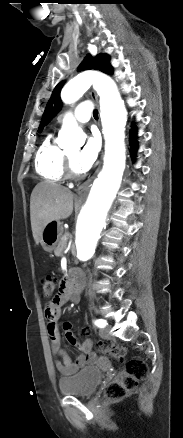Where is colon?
<instances>
[{
	"label": "colon",
	"instance_id": "obj_1",
	"mask_svg": "<svg viewBox=\"0 0 183 438\" xmlns=\"http://www.w3.org/2000/svg\"><path fill=\"white\" fill-rule=\"evenodd\" d=\"M43 296L51 298L56 290L57 281L54 278L46 277L41 282ZM98 347L101 352L109 355L117 361L123 362L127 355V349L119 344L100 342ZM148 366L141 359H132L126 362L123 369L106 387V396L112 399L122 398L133 391L138 383L146 378Z\"/></svg>",
	"mask_w": 183,
	"mask_h": 438
}]
</instances>
